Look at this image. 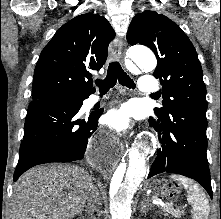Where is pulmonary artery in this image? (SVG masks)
<instances>
[{"instance_id": "e3ab8cb5", "label": "pulmonary artery", "mask_w": 221, "mask_h": 219, "mask_svg": "<svg viewBox=\"0 0 221 219\" xmlns=\"http://www.w3.org/2000/svg\"><path fill=\"white\" fill-rule=\"evenodd\" d=\"M139 89L141 92L147 95H156L157 92L160 90V83L158 79L152 75H142L140 77ZM108 97H100V96H93L91 98V103L94 104L98 101L105 100Z\"/></svg>"}]
</instances>
